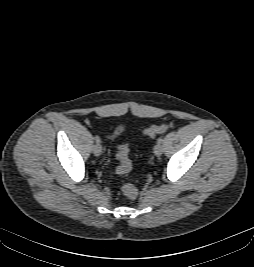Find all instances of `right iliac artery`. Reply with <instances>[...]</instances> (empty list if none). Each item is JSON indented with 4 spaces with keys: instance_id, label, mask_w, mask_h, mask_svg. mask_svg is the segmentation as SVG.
<instances>
[{
    "instance_id": "right-iliac-artery-1",
    "label": "right iliac artery",
    "mask_w": 254,
    "mask_h": 267,
    "mask_svg": "<svg viewBox=\"0 0 254 267\" xmlns=\"http://www.w3.org/2000/svg\"><path fill=\"white\" fill-rule=\"evenodd\" d=\"M94 140H95L96 143H99V142H100V138H99V136H95V137H94Z\"/></svg>"
}]
</instances>
